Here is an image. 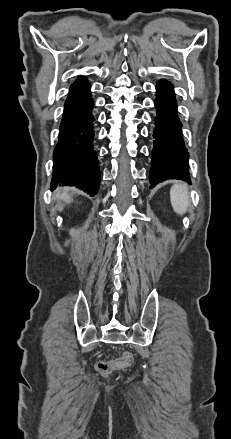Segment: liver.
Masks as SVG:
<instances>
[{
  "label": "liver",
  "mask_w": 231,
  "mask_h": 439,
  "mask_svg": "<svg viewBox=\"0 0 231 439\" xmlns=\"http://www.w3.org/2000/svg\"><path fill=\"white\" fill-rule=\"evenodd\" d=\"M56 197L57 198H61L62 200H64L66 203H70L72 201V198L69 196L67 190H58L56 192Z\"/></svg>",
  "instance_id": "obj_1"
}]
</instances>
